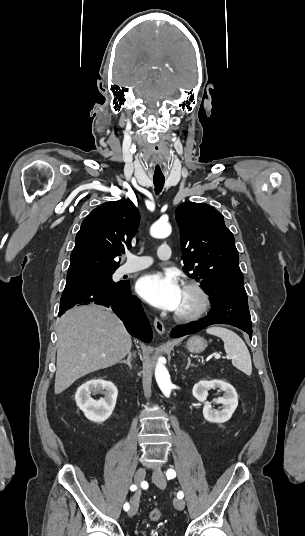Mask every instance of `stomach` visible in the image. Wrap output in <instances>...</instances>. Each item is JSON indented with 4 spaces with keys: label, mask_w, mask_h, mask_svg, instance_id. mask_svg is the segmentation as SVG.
<instances>
[{
    "label": "stomach",
    "mask_w": 305,
    "mask_h": 536,
    "mask_svg": "<svg viewBox=\"0 0 305 536\" xmlns=\"http://www.w3.org/2000/svg\"><path fill=\"white\" fill-rule=\"evenodd\" d=\"M186 346L188 352H191V354H201L207 348V342L204 338H200V336H192V338H189Z\"/></svg>",
    "instance_id": "0dacf381"
}]
</instances>
